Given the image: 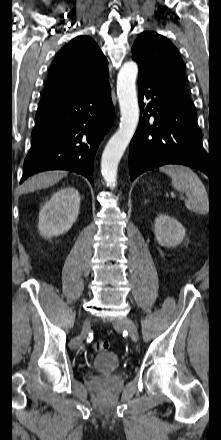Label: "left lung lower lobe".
Wrapping results in <instances>:
<instances>
[{"label":"left lung lower lobe","mask_w":221,"mask_h":440,"mask_svg":"<svg viewBox=\"0 0 221 440\" xmlns=\"http://www.w3.org/2000/svg\"><path fill=\"white\" fill-rule=\"evenodd\" d=\"M138 88L141 114L130 142L131 180L165 164H183L209 175L208 158L199 141L197 114L188 96L141 72Z\"/></svg>","instance_id":"obj_1"}]
</instances>
